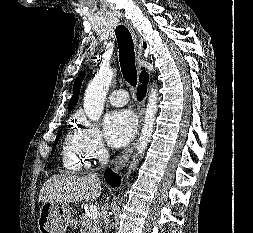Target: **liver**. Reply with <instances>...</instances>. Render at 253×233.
Instances as JSON below:
<instances>
[{"instance_id": "6515ba94", "label": "liver", "mask_w": 253, "mask_h": 233, "mask_svg": "<svg viewBox=\"0 0 253 233\" xmlns=\"http://www.w3.org/2000/svg\"><path fill=\"white\" fill-rule=\"evenodd\" d=\"M102 186L93 175L69 176L57 174L50 177L42 186L39 194L40 202H89L98 198Z\"/></svg>"}]
</instances>
